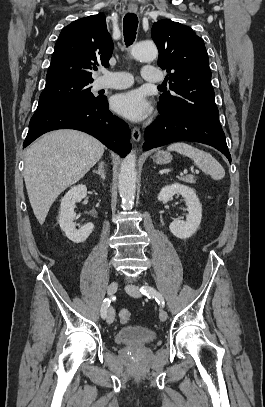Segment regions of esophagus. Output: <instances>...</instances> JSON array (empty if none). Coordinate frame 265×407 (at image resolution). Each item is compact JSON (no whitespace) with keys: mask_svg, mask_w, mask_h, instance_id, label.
I'll return each instance as SVG.
<instances>
[{"mask_svg":"<svg viewBox=\"0 0 265 407\" xmlns=\"http://www.w3.org/2000/svg\"><path fill=\"white\" fill-rule=\"evenodd\" d=\"M128 10H129V12H131V13H136V12H137V6H132V5H130V6L128 7ZM132 139H133V141H135V142L140 141V139H141V132H140V129H139L138 127H134V128H133V130H132Z\"/></svg>","mask_w":265,"mask_h":407,"instance_id":"1","label":"esophagus"}]
</instances>
